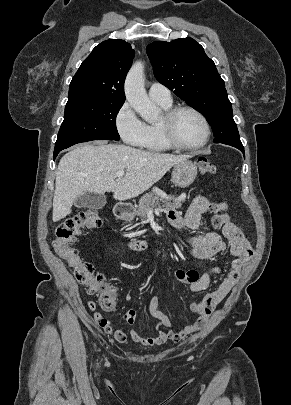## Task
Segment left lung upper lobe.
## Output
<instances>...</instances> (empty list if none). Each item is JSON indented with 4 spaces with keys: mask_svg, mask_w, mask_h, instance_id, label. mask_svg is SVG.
<instances>
[{
    "mask_svg": "<svg viewBox=\"0 0 291 405\" xmlns=\"http://www.w3.org/2000/svg\"><path fill=\"white\" fill-rule=\"evenodd\" d=\"M146 52L157 80L207 118L215 143L242 145L224 81L198 42L156 41Z\"/></svg>",
    "mask_w": 291,
    "mask_h": 405,
    "instance_id": "obj_1",
    "label": "left lung upper lobe"
}]
</instances>
